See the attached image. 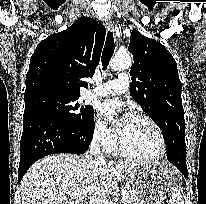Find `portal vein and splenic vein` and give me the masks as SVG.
I'll return each instance as SVG.
<instances>
[{
  "mask_svg": "<svg viewBox=\"0 0 206 204\" xmlns=\"http://www.w3.org/2000/svg\"><path fill=\"white\" fill-rule=\"evenodd\" d=\"M127 194H128L127 190H123L122 193H121V195H122L123 198L126 197Z\"/></svg>",
  "mask_w": 206,
  "mask_h": 204,
  "instance_id": "obj_1",
  "label": "portal vein and splenic vein"
}]
</instances>
